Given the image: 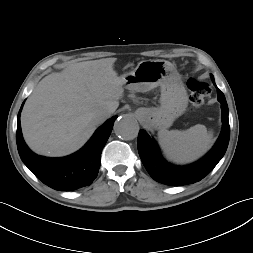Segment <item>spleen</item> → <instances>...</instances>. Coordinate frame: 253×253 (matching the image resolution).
Returning a JSON list of instances; mask_svg holds the SVG:
<instances>
[{
	"instance_id": "1",
	"label": "spleen",
	"mask_w": 253,
	"mask_h": 253,
	"mask_svg": "<svg viewBox=\"0 0 253 253\" xmlns=\"http://www.w3.org/2000/svg\"><path fill=\"white\" fill-rule=\"evenodd\" d=\"M159 143L166 156L177 163L192 162L205 154L213 144V133L197 124L187 130H160Z\"/></svg>"
}]
</instances>
